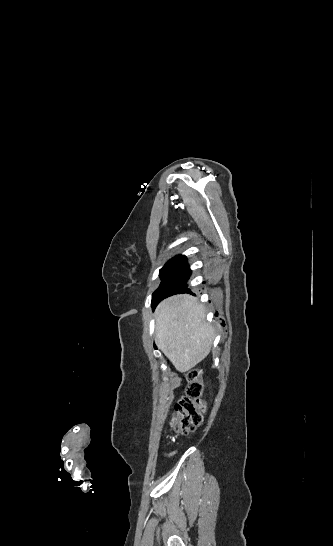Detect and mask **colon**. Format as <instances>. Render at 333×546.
<instances>
[{
	"instance_id": "obj_1",
	"label": "colon",
	"mask_w": 333,
	"mask_h": 546,
	"mask_svg": "<svg viewBox=\"0 0 333 546\" xmlns=\"http://www.w3.org/2000/svg\"><path fill=\"white\" fill-rule=\"evenodd\" d=\"M188 394L182 398L174 409L172 427L179 434H190L202 423L205 404L201 399L203 384L201 373L192 370L187 374Z\"/></svg>"
}]
</instances>
